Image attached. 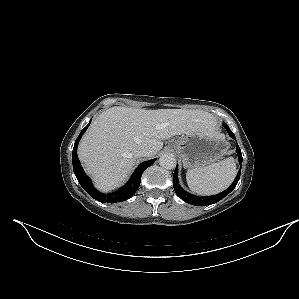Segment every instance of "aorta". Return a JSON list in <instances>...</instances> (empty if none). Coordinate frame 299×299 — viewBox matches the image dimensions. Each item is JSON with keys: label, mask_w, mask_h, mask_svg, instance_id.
Here are the masks:
<instances>
[{"label": "aorta", "mask_w": 299, "mask_h": 299, "mask_svg": "<svg viewBox=\"0 0 299 299\" xmlns=\"http://www.w3.org/2000/svg\"><path fill=\"white\" fill-rule=\"evenodd\" d=\"M159 164L162 168L173 169L176 166V158L172 153H165L160 156Z\"/></svg>", "instance_id": "aorta-1"}]
</instances>
